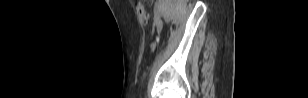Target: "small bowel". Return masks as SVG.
<instances>
[{
  "label": "small bowel",
  "mask_w": 308,
  "mask_h": 98,
  "mask_svg": "<svg viewBox=\"0 0 308 98\" xmlns=\"http://www.w3.org/2000/svg\"><path fill=\"white\" fill-rule=\"evenodd\" d=\"M156 27H157L158 30L161 29V25L159 23H157Z\"/></svg>",
  "instance_id": "small-bowel-1"
}]
</instances>
